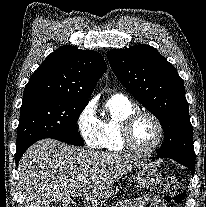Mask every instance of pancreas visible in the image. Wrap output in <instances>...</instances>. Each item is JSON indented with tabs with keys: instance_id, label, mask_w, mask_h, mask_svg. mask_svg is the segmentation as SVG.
<instances>
[{
	"instance_id": "1",
	"label": "pancreas",
	"mask_w": 206,
	"mask_h": 207,
	"mask_svg": "<svg viewBox=\"0 0 206 207\" xmlns=\"http://www.w3.org/2000/svg\"><path fill=\"white\" fill-rule=\"evenodd\" d=\"M134 203H135L134 201L127 200L124 202H119L114 207H134Z\"/></svg>"
}]
</instances>
